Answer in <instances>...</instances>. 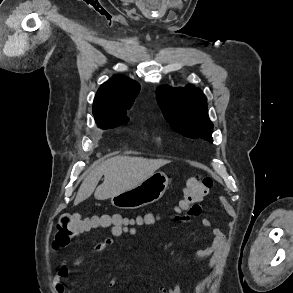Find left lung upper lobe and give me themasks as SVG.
<instances>
[{"instance_id":"left-lung-upper-lobe-1","label":"left lung upper lobe","mask_w":293,"mask_h":293,"mask_svg":"<svg viewBox=\"0 0 293 293\" xmlns=\"http://www.w3.org/2000/svg\"><path fill=\"white\" fill-rule=\"evenodd\" d=\"M156 96L165 118L176 132L213 142L206 97L199 89L190 85L176 89L160 86Z\"/></svg>"}]
</instances>
